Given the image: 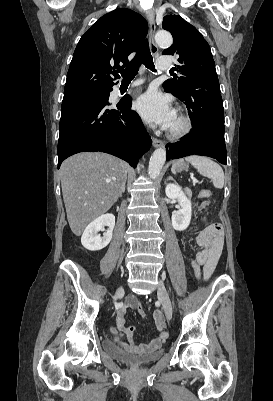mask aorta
Segmentation results:
<instances>
[{
    "label": "aorta",
    "instance_id": "762f6f07",
    "mask_svg": "<svg viewBox=\"0 0 273 401\" xmlns=\"http://www.w3.org/2000/svg\"><path fill=\"white\" fill-rule=\"evenodd\" d=\"M155 41L158 46L168 48L172 44L173 38L169 32L159 31L155 35ZM165 161L166 151L162 148L156 149L149 161L148 174L150 178L155 179L159 176Z\"/></svg>",
    "mask_w": 273,
    "mask_h": 401
}]
</instances>
